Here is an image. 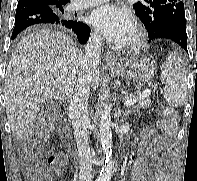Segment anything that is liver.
Here are the masks:
<instances>
[{
    "instance_id": "1",
    "label": "liver",
    "mask_w": 197,
    "mask_h": 181,
    "mask_svg": "<svg viewBox=\"0 0 197 181\" xmlns=\"http://www.w3.org/2000/svg\"><path fill=\"white\" fill-rule=\"evenodd\" d=\"M83 55L72 39L59 31L39 29L18 43L5 74L6 113L12 133L25 141L46 99L71 98L80 75ZM95 68L90 89L99 85Z\"/></svg>"
}]
</instances>
